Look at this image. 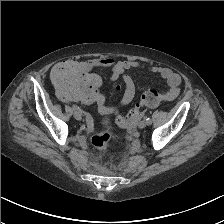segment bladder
Masks as SVG:
<instances>
[{"label": "bladder", "instance_id": "obj_1", "mask_svg": "<svg viewBox=\"0 0 224 224\" xmlns=\"http://www.w3.org/2000/svg\"><path fill=\"white\" fill-rule=\"evenodd\" d=\"M103 123L108 124V119L106 117L103 118Z\"/></svg>", "mask_w": 224, "mask_h": 224}]
</instances>
